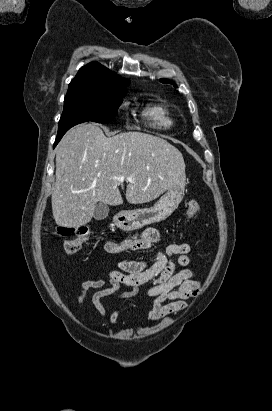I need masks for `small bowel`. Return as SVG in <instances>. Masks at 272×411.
Instances as JSON below:
<instances>
[{
	"mask_svg": "<svg viewBox=\"0 0 272 411\" xmlns=\"http://www.w3.org/2000/svg\"><path fill=\"white\" fill-rule=\"evenodd\" d=\"M160 241L158 229L150 227L140 234H135L122 241H108L105 251L109 254H121L139 250H148ZM192 249L190 243H174L158 250L155 259L123 260L118 263L119 270L109 273L108 280H85L81 283L76 296V304L83 307L90 290H96L91 301L99 315L113 324H121L120 316L130 309L142 312L136 304L128 302L108 313L102 303L104 298L115 296L117 300H130L139 294L142 286H147L145 294L154 298L152 309L147 319L158 322L165 317L176 314L188 307L186 300L199 293L200 283L195 273L188 268ZM180 267V270L177 268ZM106 283L108 285L106 286ZM122 285L131 288L119 292Z\"/></svg>",
	"mask_w": 272,
	"mask_h": 411,
	"instance_id": "small-bowel-1",
	"label": "small bowel"
}]
</instances>
